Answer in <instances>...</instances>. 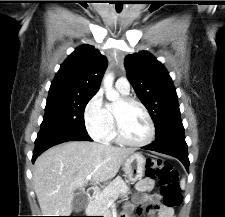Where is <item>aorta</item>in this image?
Segmentation results:
<instances>
[{"label":"aorta","mask_w":225,"mask_h":217,"mask_svg":"<svg viewBox=\"0 0 225 217\" xmlns=\"http://www.w3.org/2000/svg\"><path fill=\"white\" fill-rule=\"evenodd\" d=\"M114 75L108 73L104 76L103 83L105 88L106 98L113 104L121 102L119 93L113 88Z\"/></svg>","instance_id":"aorta-1"}]
</instances>
